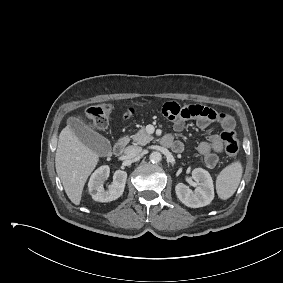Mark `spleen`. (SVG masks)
Wrapping results in <instances>:
<instances>
[{
	"label": "spleen",
	"instance_id": "1",
	"mask_svg": "<svg viewBox=\"0 0 283 283\" xmlns=\"http://www.w3.org/2000/svg\"><path fill=\"white\" fill-rule=\"evenodd\" d=\"M242 172V165L239 161L233 162L220 172L216 179V190L220 199L227 200L235 193Z\"/></svg>",
	"mask_w": 283,
	"mask_h": 283
}]
</instances>
